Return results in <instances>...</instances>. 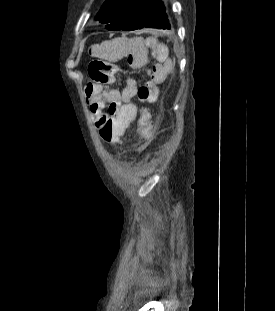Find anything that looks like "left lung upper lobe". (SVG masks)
Listing matches in <instances>:
<instances>
[{"label":"left lung upper lobe","mask_w":275,"mask_h":311,"mask_svg":"<svg viewBox=\"0 0 275 311\" xmlns=\"http://www.w3.org/2000/svg\"><path fill=\"white\" fill-rule=\"evenodd\" d=\"M146 0H106L102 5L98 16L101 23L111 31L122 30L134 17L137 9Z\"/></svg>","instance_id":"left-lung-upper-lobe-1"}]
</instances>
